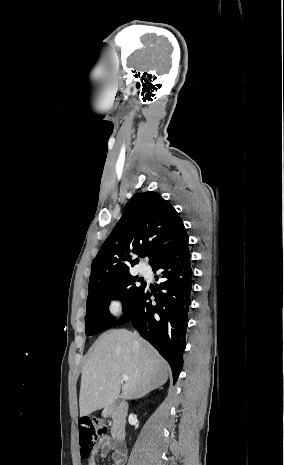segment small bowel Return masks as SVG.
Listing matches in <instances>:
<instances>
[{
  "mask_svg": "<svg viewBox=\"0 0 284 465\" xmlns=\"http://www.w3.org/2000/svg\"><path fill=\"white\" fill-rule=\"evenodd\" d=\"M111 451L110 448V440L109 437H104L98 443L95 445L91 459L88 463V465H97V462L95 460V456L100 453L103 457H105L109 452ZM112 459L114 462V465H121L122 464V455L118 453L117 451L112 452Z\"/></svg>",
  "mask_w": 284,
  "mask_h": 465,
  "instance_id": "1",
  "label": "small bowel"
}]
</instances>
